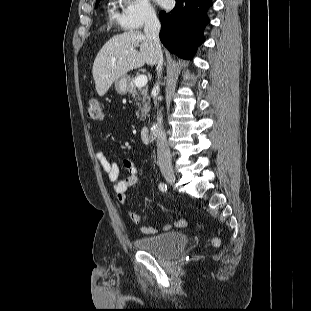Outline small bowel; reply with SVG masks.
I'll use <instances>...</instances> for the list:
<instances>
[{"instance_id":"1","label":"small bowel","mask_w":311,"mask_h":311,"mask_svg":"<svg viewBox=\"0 0 311 311\" xmlns=\"http://www.w3.org/2000/svg\"><path fill=\"white\" fill-rule=\"evenodd\" d=\"M96 158L99 161L102 169L107 174L108 180L112 184V188L114 192L116 193L117 199L121 204H124L127 200L126 192L127 190L135 186L139 183V177L138 172L133 163L129 160H124V166L129 170V173L124 176L123 178H120L119 174V168L118 165L108 159V157L102 152L100 148L96 149ZM129 219L135 223L139 224L142 221V217L140 214L135 212H128ZM178 227H184L187 225V221L184 219H180L175 221L174 223ZM171 229V225L165 224L162 226V231H168ZM142 233L144 234H155L158 232L157 229L153 227L143 226L141 228Z\"/></svg>"}]
</instances>
